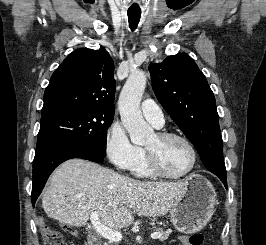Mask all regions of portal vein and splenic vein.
I'll list each match as a JSON object with an SVG mask.
<instances>
[{"mask_svg":"<svg viewBox=\"0 0 266 245\" xmlns=\"http://www.w3.org/2000/svg\"><path fill=\"white\" fill-rule=\"evenodd\" d=\"M90 221L93 227H95L96 233H98V235H101V237H105V239H109V241H114V243H119V241H122L123 237L121 233H119V231H114V229H109V227L101 225L96 211H94V213H91ZM150 237L151 239H159L161 235L160 233H152Z\"/></svg>","mask_w":266,"mask_h":245,"instance_id":"portal-vein-and-splenic-vein-1","label":"portal vein and splenic vein"}]
</instances>
